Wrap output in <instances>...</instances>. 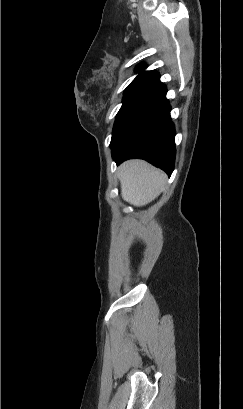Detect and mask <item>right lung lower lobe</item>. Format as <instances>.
Instances as JSON below:
<instances>
[{
	"mask_svg": "<svg viewBox=\"0 0 243 409\" xmlns=\"http://www.w3.org/2000/svg\"><path fill=\"white\" fill-rule=\"evenodd\" d=\"M166 92V87L161 83L134 111L111 142L112 156L117 164L140 158L171 175L176 153L175 129Z\"/></svg>",
	"mask_w": 243,
	"mask_h": 409,
	"instance_id": "right-lung-lower-lobe-1",
	"label": "right lung lower lobe"
}]
</instances>
